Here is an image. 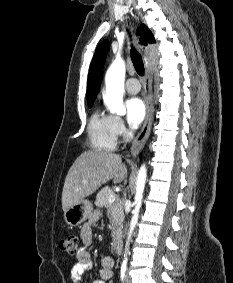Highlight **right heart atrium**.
I'll return each instance as SVG.
<instances>
[{
	"instance_id": "1",
	"label": "right heart atrium",
	"mask_w": 233,
	"mask_h": 283,
	"mask_svg": "<svg viewBox=\"0 0 233 283\" xmlns=\"http://www.w3.org/2000/svg\"><path fill=\"white\" fill-rule=\"evenodd\" d=\"M115 130L118 137H125L128 134L123 121L117 117H115Z\"/></svg>"
}]
</instances>
